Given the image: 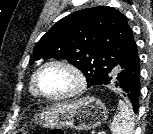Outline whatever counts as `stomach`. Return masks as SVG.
Wrapping results in <instances>:
<instances>
[{"label": "stomach", "mask_w": 153, "mask_h": 134, "mask_svg": "<svg viewBox=\"0 0 153 134\" xmlns=\"http://www.w3.org/2000/svg\"><path fill=\"white\" fill-rule=\"evenodd\" d=\"M107 118L105 105L95 97H85L72 103H57L37 115L40 125L50 129L73 128L87 131L101 125ZM19 134H27L23 128Z\"/></svg>", "instance_id": "stomach-1"}]
</instances>
